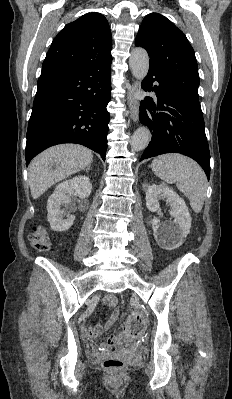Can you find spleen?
Listing matches in <instances>:
<instances>
[{
	"instance_id": "obj_1",
	"label": "spleen",
	"mask_w": 232,
	"mask_h": 399,
	"mask_svg": "<svg viewBox=\"0 0 232 399\" xmlns=\"http://www.w3.org/2000/svg\"><path fill=\"white\" fill-rule=\"evenodd\" d=\"M151 168L155 176L166 184H176L196 213L201 211L206 198L207 178L197 162L181 154H164L154 158Z\"/></svg>"
}]
</instances>
